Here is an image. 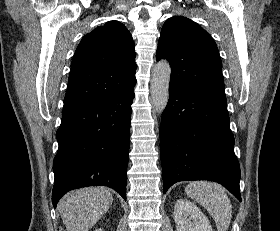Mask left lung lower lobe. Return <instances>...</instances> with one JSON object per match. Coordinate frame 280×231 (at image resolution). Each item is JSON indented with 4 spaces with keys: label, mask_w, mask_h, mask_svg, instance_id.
Segmentation results:
<instances>
[{
    "label": "left lung lower lobe",
    "mask_w": 280,
    "mask_h": 231,
    "mask_svg": "<svg viewBox=\"0 0 280 231\" xmlns=\"http://www.w3.org/2000/svg\"><path fill=\"white\" fill-rule=\"evenodd\" d=\"M160 142L164 193L179 181L210 180L241 201L225 94L170 84Z\"/></svg>",
    "instance_id": "1"
}]
</instances>
